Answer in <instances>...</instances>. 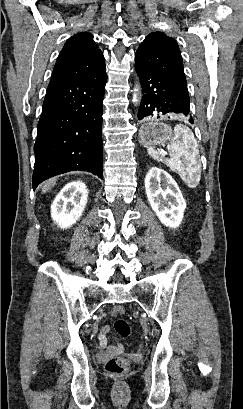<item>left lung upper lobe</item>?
<instances>
[{"mask_svg":"<svg viewBox=\"0 0 243 409\" xmlns=\"http://www.w3.org/2000/svg\"><path fill=\"white\" fill-rule=\"evenodd\" d=\"M135 65L187 84L178 44L163 33L146 36L136 51Z\"/></svg>","mask_w":243,"mask_h":409,"instance_id":"1","label":"left lung upper lobe"}]
</instances>
